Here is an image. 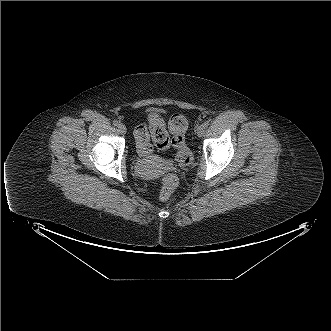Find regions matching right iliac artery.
<instances>
[{
  "label": "right iliac artery",
  "instance_id": "1",
  "mask_svg": "<svg viewBox=\"0 0 331 331\" xmlns=\"http://www.w3.org/2000/svg\"><path fill=\"white\" fill-rule=\"evenodd\" d=\"M113 125H114V126H118V125H119V122H118L117 120H114V121H113Z\"/></svg>",
  "mask_w": 331,
  "mask_h": 331
}]
</instances>
